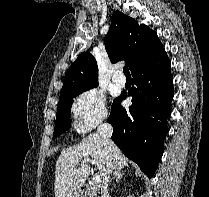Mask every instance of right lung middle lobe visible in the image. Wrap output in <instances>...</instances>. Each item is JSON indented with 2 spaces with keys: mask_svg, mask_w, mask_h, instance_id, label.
Listing matches in <instances>:
<instances>
[{
  "mask_svg": "<svg viewBox=\"0 0 209 197\" xmlns=\"http://www.w3.org/2000/svg\"><path fill=\"white\" fill-rule=\"evenodd\" d=\"M98 84L73 87L60 93L59 104L53 136L56 137L71 128L69 120L73 99L82 92L96 87Z\"/></svg>",
  "mask_w": 209,
  "mask_h": 197,
  "instance_id": "obj_1",
  "label": "right lung middle lobe"
}]
</instances>
